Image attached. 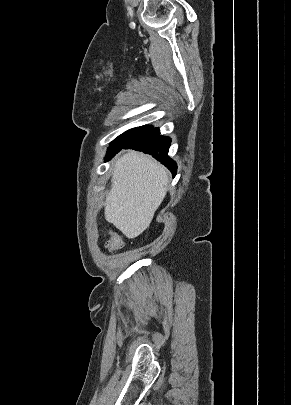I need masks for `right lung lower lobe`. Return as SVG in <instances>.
<instances>
[{"label":"right lung lower lobe","instance_id":"right-lung-lower-lobe-1","mask_svg":"<svg viewBox=\"0 0 291 405\" xmlns=\"http://www.w3.org/2000/svg\"><path fill=\"white\" fill-rule=\"evenodd\" d=\"M170 143V138L159 136L158 128H151L138 138L122 146L117 150V152H119L121 149H135L150 154L164 164L172 172L174 177L176 175L177 165L171 158L168 157Z\"/></svg>","mask_w":291,"mask_h":405}]
</instances>
